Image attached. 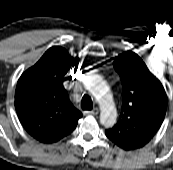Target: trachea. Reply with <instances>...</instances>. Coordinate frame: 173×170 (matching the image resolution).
Returning a JSON list of instances; mask_svg holds the SVG:
<instances>
[{"mask_svg":"<svg viewBox=\"0 0 173 170\" xmlns=\"http://www.w3.org/2000/svg\"><path fill=\"white\" fill-rule=\"evenodd\" d=\"M81 106L83 110H92L93 103L89 95H84L82 97Z\"/></svg>","mask_w":173,"mask_h":170,"instance_id":"trachea-1","label":"trachea"}]
</instances>
